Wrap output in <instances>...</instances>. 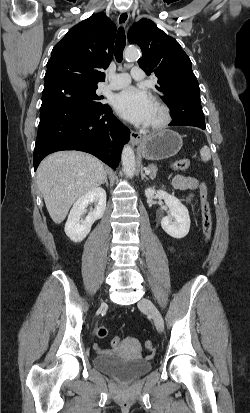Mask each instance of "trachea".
<instances>
[{
  "instance_id": "1",
  "label": "trachea",
  "mask_w": 250,
  "mask_h": 413,
  "mask_svg": "<svg viewBox=\"0 0 250 413\" xmlns=\"http://www.w3.org/2000/svg\"><path fill=\"white\" fill-rule=\"evenodd\" d=\"M126 39H125V31L123 27H120L117 32L114 55L117 62H121L123 59V50L125 48Z\"/></svg>"
}]
</instances>
